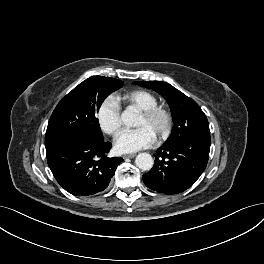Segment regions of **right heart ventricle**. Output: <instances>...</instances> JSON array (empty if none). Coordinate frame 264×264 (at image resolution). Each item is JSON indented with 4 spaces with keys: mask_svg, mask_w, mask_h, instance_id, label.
Instances as JSON below:
<instances>
[{
    "mask_svg": "<svg viewBox=\"0 0 264 264\" xmlns=\"http://www.w3.org/2000/svg\"><path fill=\"white\" fill-rule=\"evenodd\" d=\"M118 99L128 105L134 106L139 110H145L158 105L157 97L144 89L128 91L118 97Z\"/></svg>",
    "mask_w": 264,
    "mask_h": 264,
    "instance_id": "1",
    "label": "right heart ventricle"
}]
</instances>
